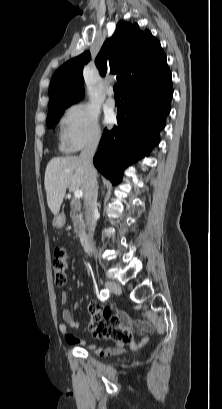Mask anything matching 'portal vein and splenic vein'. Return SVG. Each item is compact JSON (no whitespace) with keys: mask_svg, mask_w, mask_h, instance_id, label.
<instances>
[{"mask_svg":"<svg viewBox=\"0 0 222 409\" xmlns=\"http://www.w3.org/2000/svg\"><path fill=\"white\" fill-rule=\"evenodd\" d=\"M74 196L76 199H80L83 196V192L81 190H76Z\"/></svg>","mask_w":222,"mask_h":409,"instance_id":"1","label":"portal vein and splenic vein"}]
</instances>
